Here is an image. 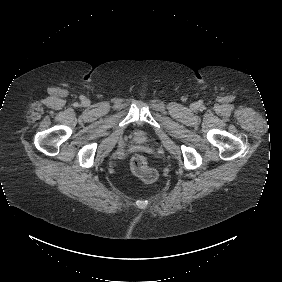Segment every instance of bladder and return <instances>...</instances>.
Wrapping results in <instances>:
<instances>
[{
	"instance_id": "31cf9c89",
	"label": "bladder",
	"mask_w": 282,
	"mask_h": 282,
	"mask_svg": "<svg viewBox=\"0 0 282 282\" xmlns=\"http://www.w3.org/2000/svg\"><path fill=\"white\" fill-rule=\"evenodd\" d=\"M139 139L142 140V141L146 140L145 134H141V135L139 136Z\"/></svg>"
}]
</instances>
